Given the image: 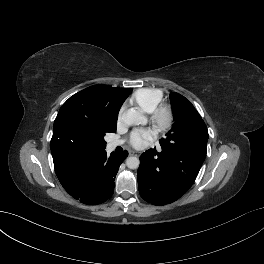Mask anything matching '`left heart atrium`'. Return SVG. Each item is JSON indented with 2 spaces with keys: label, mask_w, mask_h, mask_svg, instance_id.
Here are the masks:
<instances>
[{
  "label": "left heart atrium",
  "mask_w": 264,
  "mask_h": 264,
  "mask_svg": "<svg viewBox=\"0 0 264 264\" xmlns=\"http://www.w3.org/2000/svg\"><path fill=\"white\" fill-rule=\"evenodd\" d=\"M153 139V133L147 129H137L131 133L130 143L135 148H142L146 142Z\"/></svg>",
  "instance_id": "obj_1"
}]
</instances>
